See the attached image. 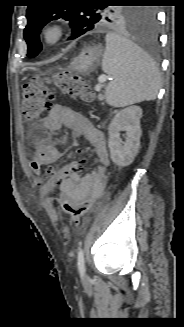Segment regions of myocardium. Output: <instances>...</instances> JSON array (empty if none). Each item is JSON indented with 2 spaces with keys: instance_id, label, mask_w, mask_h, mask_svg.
<instances>
[{
  "instance_id": "f54148a6",
  "label": "myocardium",
  "mask_w": 184,
  "mask_h": 327,
  "mask_svg": "<svg viewBox=\"0 0 184 327\" xmlns=\"http://www.w3.org/2000/svg\"><path fill=\"white\" fill-rule=\"evenodd\" d=\"M64 27L59 22L45 24L40 32L41 40L49 46L58 44L64 37Z\"/></svg>"
}]
</instances>
